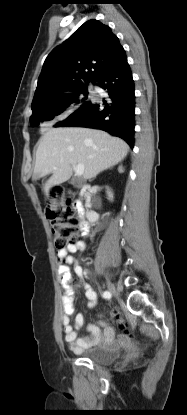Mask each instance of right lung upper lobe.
Segmentation results:
<instances>
[{"instance_id":"1","label":"right lung upper lobe","mask_w":187,"mask_h":415,"mask_svg":"<svg viewBox=\"0 0 187 415\" xmlns=\"http://www.w3.org/2000/svg\"><path fill=\"white\" fill-rule=\"evenodd\" d=\"M124 49L111 29L98 20L84 23L47 56L32 102V109L60 101L84 82L96 78Z\"/></svg>"}]
</instances>
